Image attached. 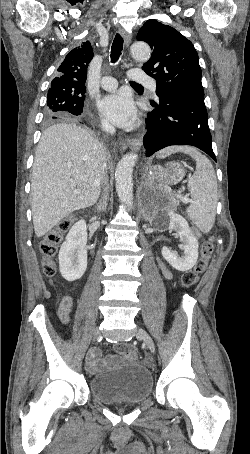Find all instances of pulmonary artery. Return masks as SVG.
Instances as JSON below:
<instances>
[{
	"mask_svg": "<svg viewBox=\"0 0 250 454\" xmlns=\"http://www.w3.org/2000/svg\"><path fill=\"white\" fill-rule=\"evenodd\" d=\"M129 78L141 84L148 85L153 92H156V82L153 78L147 75L143 71L132 70L129 73ZM101 87L107 91H113L118 87V81L116 78L111 76L103 77L101 80Z\"/></svg>",
	"mask_w": 250,
	"mask_h": 454,
	"instance_id": "1",
	"label": "pulmonary artery"
}]
</instances>
